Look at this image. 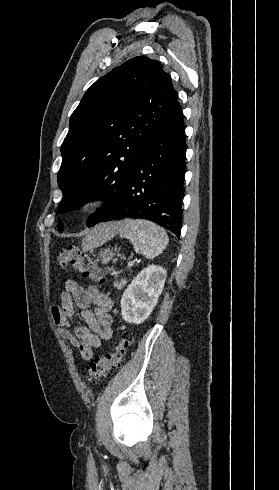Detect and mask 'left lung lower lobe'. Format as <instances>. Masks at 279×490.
I'll list each match as a JSON object with an SVG mask.
<instances>
[{
  "mask_svg": "<svg viewBox=\"0 0 279 490\" xmlns=\"http://www.w3.org/2000/svg\"><path fill=\"white\" fill-rule=\"evenodd\" d=\"M185 153V128L178 105L149 136L115 207L100 222L127 217L147 219L179 237Z\"/></svg>",
  "mask_w": 279,
  "mask_h": 490,
  "instance_id": "1",
  "label": "left lung lower lobe"
}]
</instances>
